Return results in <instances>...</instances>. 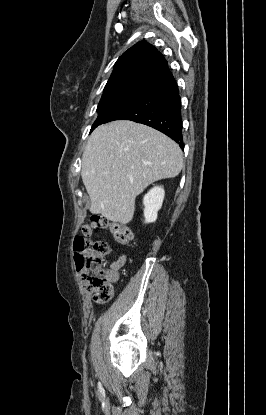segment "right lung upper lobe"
<instances>
[{
  "mask_svg": "<svg viewBox=\"0 0 266 415\" xmlns=\"http://www.w3.org/2000/svg\"><path fill=\"white\" fill-rule=\"evenodd\" d=\"M172 80L163 55L153 45L141 41L116 61L103 93L117 90L150 93Z\"/></svg>",
  "mask_w": 266,
  "mask_h": 415,
  "instance_id": "obj_1",
  "label": "right lung upper lobe"
}]
</instances>
